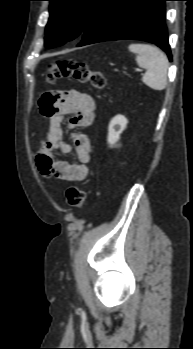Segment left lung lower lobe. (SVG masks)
<instances>
[{
  "mask_svg": "<svg viewBox=\"0 0 193 349\" xmlns=\"http://www.w3.org/2000/svg\"><path fill=\"white\" fill-rule=\"evenodd\" d=\"M167 0H107L77 46L110 40H143L161 47L171 61L164 22Z\"/></svg>",
  "mask_w": 193,
  "mask_h": 349,
  "instance_id": "1",
  "label": "left lung lower lobe"
}]
</instances>
